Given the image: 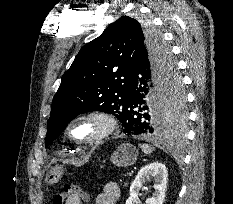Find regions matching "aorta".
<instances>
[{
	"label": "aorta",
	"instance_id": "1",
	"mask_svg": "<svg viewBox=\"0 0 233 204\" xmlns=\"http://www.w3.org/2000/svg\"><path fill=\"white\" fill-rule=\"evenodd\" d=\"M152 107L154 108V112L161 111V108H162L160 105H157V104H152Z\"/></svg>",
	"mask_w": 233,
	"mask_h": 204
}]
</instances>
